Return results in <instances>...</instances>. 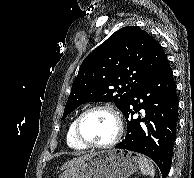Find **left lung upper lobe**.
I'll return each mask as SVG.
<instances>
[{
  "mask_svg": "<svg viewBox=\"0 0 194 178\" xmlns=\"http://www.w3.org/2000/svg\"><path fill=\"white\" fill-rule=\"evenodd\" d=\"M167 62L161 45L137 26L113 33L82 62L62 119L86 102H111L123 112L131 93Z\"/></svg>",
  "mask_w": 194,
  "mask_h": 178,
  "instance_id": "1",
  "label": "left lung upper lobe"
}]
</instances>
